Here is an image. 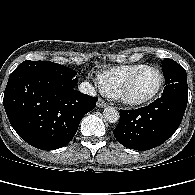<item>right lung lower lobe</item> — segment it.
Instances as JSON below:
<instances>
[{"label":"right lung lower lobe","instance_id":"98d812e1","mask_svg":"<svg viewBox=\"0 0 195 195\" xmlns=\"http://www.w3.org/2000/svg\"><path fill=\"white\" fill-rule=\"evenodd\" d=\"M74 87L61 89L56 80L43 73L14 70L4 92L3 104L17 134L42 150L67 145L83 116L93 110L98 101Z\"/></svg>","mask_w":195,"mask_h":195}]
</instances>
